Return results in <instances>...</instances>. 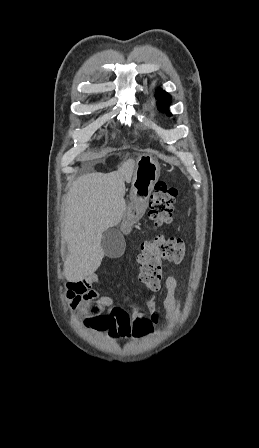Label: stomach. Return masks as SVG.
<instances>
[{"mask_svg":"<svg viewBox=\"0 0 259 448\" xmlns=\"http://www.w3.org/2000/svg\"><path fill=\"white\" fill-rule=\"evenodd\" d=\"M159 176L160 166L153 156L143 154V156L137 158L130 190V200L133 204H147ZM142 214V206H125L123 213L124 232H127V227H133L135 221H141Z\"/></svg>","mask_w":259,"mask_h":448,"instance_id":"stomach-1","label":"stomach"}]
</instances>
